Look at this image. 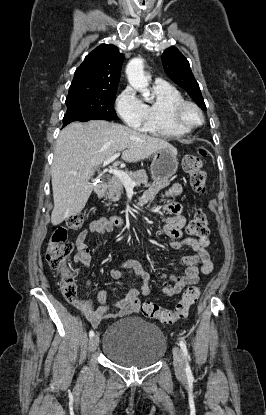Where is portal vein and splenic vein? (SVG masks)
<instances>
[{
  "label": "portal vein and splenic vein",
  "instance_id": "1",
  "mask_svg": "<svg viewBox=\"0 0 266 415\" xmlns=\"http://www.w3.org/2000/svg\"><path fill=\"white\" fill-rule=\"evenodd\" d=\"M120 156V153H115L114 155H112L111 157H109L108 159H106L103 164L102 167L107 166L109 163H111L112 161H114L115 159H117ZM109 173L113 174L114 176H117L122 184L128 188V189H133L135 186L138 185L137 182L133 181L126 172H124L123 170L117 169V168H113V169H109Z\"/></svg>",
  "mask_w": 266,
  "mask_h": 415
}]
</instances>
